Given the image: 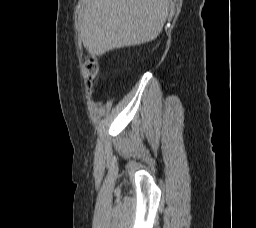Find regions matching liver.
Returning a JSON list of instances; mask_svg holds the SVG:
<instances>
[{
	"instance_id": "6515ba94",
	"label": "liver",
	"mask_w": 256,
	"mask_h": 228,
	"mask_svg": "<svg viewBox=\"0 0 256 228\" xmlns=\"http://www.w3.org/2000/svg\"><path fill=\"white\" fill-rule=\"evenodd\" d=\"M81 40L94 58L157 38L168 16L169 0H83Z\"/></svg>"
}]
</instances>
